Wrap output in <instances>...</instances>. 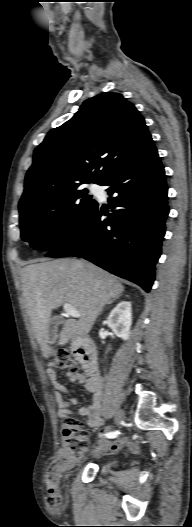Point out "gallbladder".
<instances>
[{
    "label": "gallbladder",
    "instance_id": "1",
    "mask_svg": "<svg viewBox=\"0 0 192 527\" xmlns=\"http://www.w3.org/2000/svg\"><path fill=\"white\" fill-rule=\"evenodd\" d=\"M64 322L62 316H55L50 319L48 326V344H54L57 340L58 327Z\"/></svg>",
    "mask_w": 192,
    "mask_h": 527
}]
</instances>
